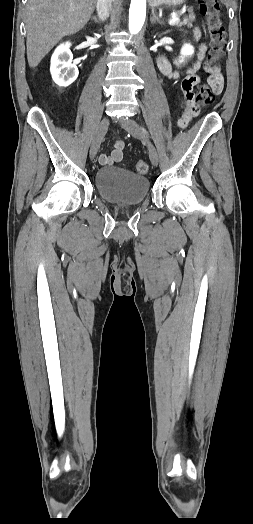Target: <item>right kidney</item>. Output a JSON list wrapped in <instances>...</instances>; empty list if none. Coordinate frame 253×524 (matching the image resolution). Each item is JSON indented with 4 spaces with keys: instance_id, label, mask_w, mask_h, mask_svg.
I'll use <instances>...</instances> for the list:
<instances>
[{
    "instance_id": "1",
    "label": "right kidney",
    "mask_w": 253,
    "mask_h": 524,
    "mask_svg": "<svg viewBox=\"0 0 253 524\" xmlns=\"http://www.w3.org/2000/svg\"><path fill=\"white\" fill-rule=\"evenodd\" d=\"M70 42L59 45L52 57L50 72L53 81L61 87H67L78 77V68L72 64L73 55L70 51Z\"/></svg>"
}]
</instances>
